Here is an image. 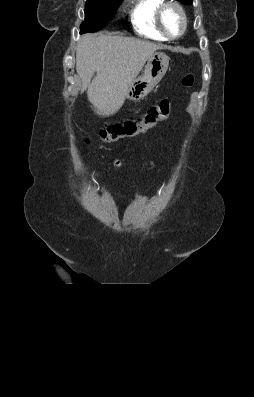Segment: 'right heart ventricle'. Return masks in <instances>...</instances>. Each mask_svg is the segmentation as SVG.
Wrapping results in <instances>:
<instances>
[{
    "mask_svg": "<svg viewBox=\"0 0 254 397\" xmlns=\"http://www.w3.org/2000/svg\"><path fill=\"white\" fill-rule=\"evenodd\" d=\"M163 0H132L130 18L136 32L158 41H166L156 23V12Z\"/></svg>",
    "mask_w": 254,
    "mask_h": 397,
    "instance_id": "e07e8e85",
    "label": "right heart ventricle"
}]
</instances>
